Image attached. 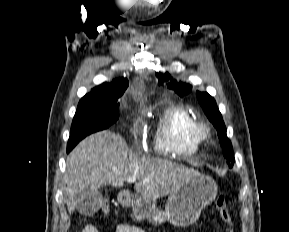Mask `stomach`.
Segmentation results:
<instances>
[{
    "label": "stomach",
    "mask_w": 289,
    "mask_h": 232,
    "mask_svg": "<svg viewBox=\"0 0 289 232\" xmlns=\"http://www.w3.org/2000/svg\"><path fill=\"white\" fill-rule=\"evenodd\" d=\"M217 195L215 181L196 171L180 188L170 194L165 210L156 208V201L128 191L121 192L118 200L122 205L130 206L137 221L148 220L154 225L164 221L177 227L193 224L200 216L202 209L209 205Z\"/></svg>",
    "instance_id": "obj_1"
}]
</instances>
